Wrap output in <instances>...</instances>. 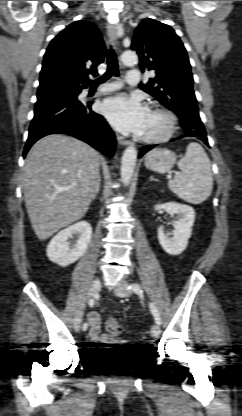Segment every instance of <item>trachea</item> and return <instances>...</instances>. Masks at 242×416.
I'll list each match as a JSON object with an SVG mask.
<instances>
[{
	"mask_svg": "<svg viewBox=\"0 0 242 416\" xmlns=\"http://www.w3.org/2000/svg\"><path fill=\"white\" fill-rule=\"evenodd\" d=\"M111 76H119L117 56L112 48H110L107 53V71L105 74L96 80H89L87 82L91 87H96L107 81Z\"/></svg>",
	"mask_w": 242,
	"mask_h": 416,
	"instance_id": "1",
	"label": "trachea"
}]
</instances>
